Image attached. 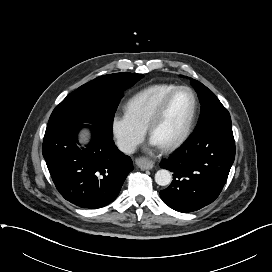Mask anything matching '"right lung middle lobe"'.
<instances>
[{"label":"right lung middle lobe","instance_id":"right-lung-middle-lobe-1","mask_svg":"<svg viewBox=\"0 0 272 272\" xmlns=\"http://www.w3.org/2000/svg\"><path fill=\"white\" fill-rule=\"evenodd\" d=\"M142 77L137 73H115L97 77L80 86L56 106L47 129L68 123H90L113 136V118L123 91Z\"/></svg>","mask_w":272,"mask_h":272}]
</instances>
